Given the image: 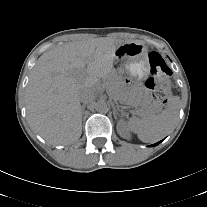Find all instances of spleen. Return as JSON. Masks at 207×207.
<instances>
[{"label": "spleen", "mask_w": 207, "mask_h": 207, "mask_svg": "<svg viewBox=\"0 0 207 207\" xmlns=\"http://www.w3.org/2000/svg\"><path fill=\"white\" fill-rule=\"evenodd\" d=\"M180 109V98L173 96L169 99L166 109L160 114H154L140 119L132 117L128 121V128L137 134L145 143L156 142L165 137L175 126Z\"/></svg>", "instance_id": "obj_1"}]
</instances>
